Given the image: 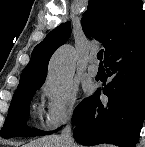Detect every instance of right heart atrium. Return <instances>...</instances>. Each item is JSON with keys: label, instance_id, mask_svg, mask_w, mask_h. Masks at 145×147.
I'll return each mask as SVG.
<instances>
[{"label": "right heart atrium", "instance_id": "obj_1", "mask_svg": "<svg viewBox=\"0 0 145 147\" xmlns=\"http://www.w3.org/2000/svg\"><path fill=\"white\" fill-rule=\"evenodd\" d=\"M42 92L46 98L44 123L48 129H57L72 120L77 105L76 87L55 88L45 83Z\"/></svg>", "mask_w": 145, "mask_h": 147}]
</instances>
